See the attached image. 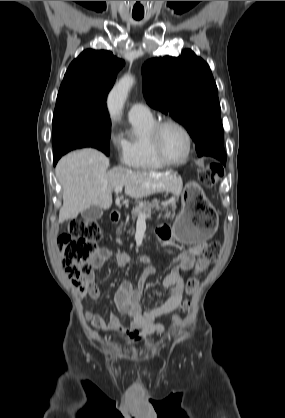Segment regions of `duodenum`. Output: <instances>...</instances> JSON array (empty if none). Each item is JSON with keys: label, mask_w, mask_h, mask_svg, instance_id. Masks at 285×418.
<instances>
[{"label": "duodenum", "mask_w": 285, "mask_h": 418, "mask_svg": "<svg viewBox=\"0 0 285 418\" xmlns=\"http://www.w3.org/2000/svg\"><path fill=\"white\" fill-rule=\"evenodd\" d=\"M122 217V213L119 210H113L111 213V219L113 222H119Z\"/></svg>", "instance_id": "obj_1"}]
</instances>
